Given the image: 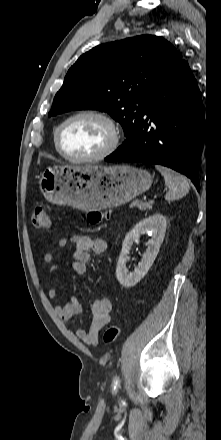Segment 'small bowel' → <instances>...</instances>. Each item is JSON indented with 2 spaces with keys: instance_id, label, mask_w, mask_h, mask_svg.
<instances>
[{
  "instance_id": "obj_1",
  "label": "small bowel",
  "mask_w": 221,
  "mask_h": 440,
  "mask_svg": "<svg viewBox=\"0 0 221 440\" xmlns=\"http://www.w3.org/2000/svg\"><path fill=\"white\" fill-rule=\"evenodd\" d=\"M68 244L74 246L72 268L78 275L87 273V265L90 261V252L102 254L107 248L106 242L101 238H90L88 236L71 235L62 238L51 251L45 253L44 262L50 265V276L54 277L58 270V262L55 260L57 251ZM48 296L51 299L58 297V290L54 287L48 289ZM91 323L89 329H79L77 336L87 345H97L98 337L103 328L111 322L112 304L106 297H98L91 304ZM56 315L64 322L70 321L74 316L82 313V306L75 296L64 306L55 308Z\"/></svg>"
}]
</instances>
